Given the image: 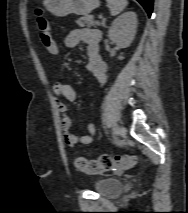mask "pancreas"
<instances>
[{"label": "pancreas", "instance_id": "pancreas-1", "mask_svg": "<svg viewBox=\"0 0 188 213\" xmlns=\"http://www.w3.org/2000/svg\"><path fill=\"white\" fill-rule=\"evenodd\" d=\"M77 24L80 27L85 26H98L97 22L94 21V16L92 15H85L77 20Z\"/></svg>", "mask_w": 188, "mask_h": 213}]
</instances>
